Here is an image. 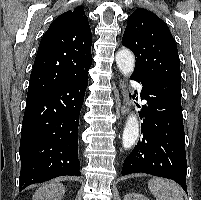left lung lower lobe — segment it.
<instances>
[{"label": "left lung lower lobe", "mask_w": 201, "mask_h": 200, "mask_svg": "<svg viewBox=\"0 0 201 200\" xmlns=\"http://www.w3.org/2000/svg\"><path fill=\"white\" fill-rule=\"evenodd\" d=\"M133 79L143 86L142 137L125 159L122 175L148 173L176 181L187 193V161L181 107V80Z\"/></svg>", "instance_id": "left-lung-lower-lobe-1"}]
</instances>
